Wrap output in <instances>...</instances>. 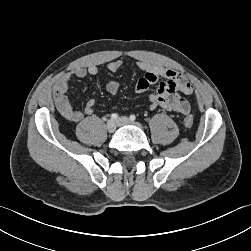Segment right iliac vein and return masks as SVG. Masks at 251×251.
Instances as JSON below:
<instances>
[{
    "instance_id": "obj_1",
    "label": "right iliac vein",
    "mask_w": 251,
    "mask_h": 251,
    "mask_svg": "<svg viewBox=\"0 0 251 251\" xmlns=\"http://www.w3.org/2000/svg\"><path fill=\"white\" fill-rule=\"evenodd\" d=\"M106 127H107V131H108L109 133L115 132L116 127H117V121H115V120H113V119L108 120L107 126H106Z\"/></svg>"
}]
</instances>
